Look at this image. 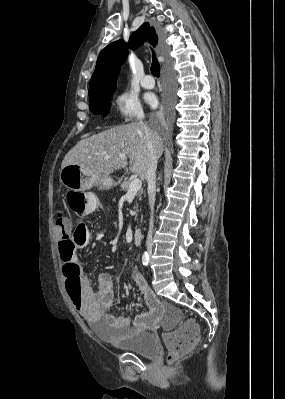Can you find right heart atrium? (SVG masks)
Here are the masks:
<instances>
[{"mask_svg": "<svg viewBox=\"0 0 285 399\" xmlns=\"http://www.w3.org/2000/svg\"><path fill=\"white\" fill-rule=\"evenodd\" d=\"M114 107L118 117L123 121H132L144 116L138 98L128 90L115 96Z\"/></svg>", "mask_w": 285, "mask_h": 399, "instance_id": "1", "label": "right heart atrium"}]
</instances>
